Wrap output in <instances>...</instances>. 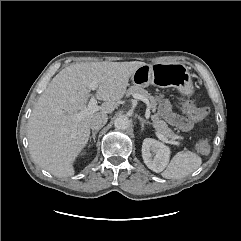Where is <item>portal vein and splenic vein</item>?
<instances>
[{
    "instance_id": "obj_1",
    "label": "portal vein and splenic vein",
    "mask_w": 241,
    "mask_h": 241,
    "mask_svg": "<svg viewBox=\"0 0 241 241\" xmlns=\"http://www.w3.org/2000/svg\"><path fill=\"white\" fill-rule=\"evenodd\" d=\"M98 83L99 81L98 80H94L92 82H90L88 84L89 88L94 91L96 90L97 86H98ZM134 98L136 99H139L141 101H143L146 105H147V108H146V112H145V117L148 119L150 117V103H149V100L142 96V95H139V94H135L133 96ZM99 109V106L97 105V100L95 99L94 96H91L90 100H89V103H88V107L85 108L84 110H81L80 112L76 113L74 115V119L75 120H79L81 119L83 116L85 115H88L90 113H94L96 111H98ZM158 138L166 143H170V144H174V145H179V142H175V141H169L167 138H165L164 136H162L161 134H159L158 132L156 133Z\"/></svg>"
}]
</instances>
